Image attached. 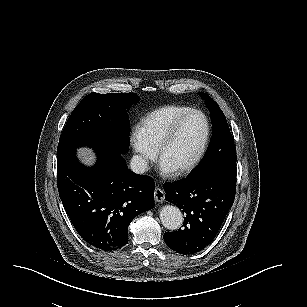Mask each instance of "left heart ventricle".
Returning <instances> with one entry per match:
<instances>
[{
  "mask_svg": "<svg viewBox=\"0 0 307 307\" xmlns=\"http://www.w3.org/2000/svg\"><path fill=\"white\" fill-rule=\"evenodd\" d=\"M201 132L196 118L192 117L187 122L179 126L177 139L173 145L166 149V158L172 164H186L196 153L200 140Z\"/></svg>",
  "mask_w": 307,
  "mask_h": 307,
  "instance_id": "left-heart-ventricle-1",
  "label": "left heart ventricle"
}]
</instances>
